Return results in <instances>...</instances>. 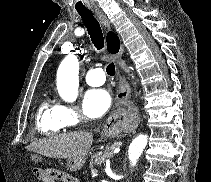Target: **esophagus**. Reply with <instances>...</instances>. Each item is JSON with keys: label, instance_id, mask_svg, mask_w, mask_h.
Wrapping results in <instances>:
<instances>
[{"label": "esophagus", "instance_id": "1", "mask_svg": "<svg viewBox=\"0 0 211 182\" xmlns=\"http://www.w3.org/2000/svg\"><path fill=\"white\" fill-rule=\"evenodd\" d=\"M95 13L97 17L99 18L101 24L106 28L110 29V24L108 23L106 17L99 11L95 10ZM115 101L118 105H125L129 106L131 104L130 101V87L128 83L125 81V79L121 76V74L118 72V91L115 96ZM113 123L112 121V115L107 119L104 129H108V127ZM139 123V117H136L135 126H137Z\"/></svg>", "mask_w": 211, "mask_h": 182}]
</instances>
